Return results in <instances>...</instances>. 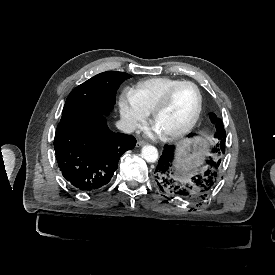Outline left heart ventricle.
I'll use <instances>...</instances> for the list:
<instances>
[{
    "mask_svg": "<svg viewBox=\"0 0 275 275\" xmlns=\"http://www.w3.org/2000/svg\"><path fill=\"white\" fill-rule=\"evenodd\" d=\"M198 97L194 86H178L167 105L154 120V127L162 134L184 127L192 118L197 107Z\"/></svg>",
    "mask_w": 275,
    "mask_h": 275,
    "instance_id": "b2bd125f",
    "label": "left heart ventricle"
}]
</instances>
